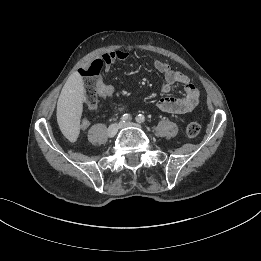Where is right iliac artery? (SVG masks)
Returning a JSON list of instances; mask_svg holds the SVG:
<instances>
[{
  "instance_id": "82829eb1",
  "label": "right iliac artery",
  "mask_w": 261,
  "mask_h": 261,
  "mask_svg": "<svg viewBox=\"0 0 261 261\" xmlns=\"http://www.w3.org/2000/svg\"><path fill=\"white\" fill-rule=\"evenodd\" d=\"M131 120V115L130 114H124L122 117H121V122L125 123V122H128Z\"/></svg>"
}]
</instances>
